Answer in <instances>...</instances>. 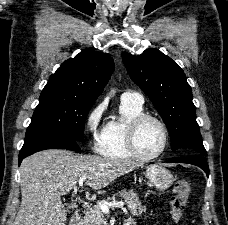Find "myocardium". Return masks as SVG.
<instances>
[{"instance_id":"1","label":"myocardium","mask_w":228,"mask_h":225,"mask_svg":"<svg viewBox=\"0 0 228 225\" xmlns=\"http://www.w3.org/2000/svg\"><path fill=\"white\" fill-rule=\"evenodd\" d=\"M148 120H153V121L157 122L161 126L163 133H164V143H163L161 150L159 152H157L156 154H152V155L144 154L141 151L139 144H138L139 131H140L141 127L143 126V124ZM127 142H128L129 149L136 157H138L140 159H144V160H153V159L161 157L165 153V151L168 147V144H169V129H168L166 123L160 117L153 115V114L143 113L141 115L134 117L129 122L128 129H127Z\"/></svg>"}]
</instances>
